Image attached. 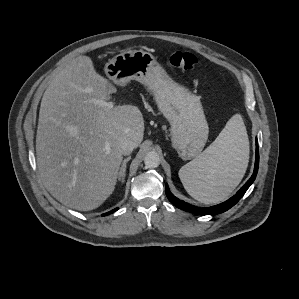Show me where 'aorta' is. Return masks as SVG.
<instances>
[{
  "instance_id": "obj_1",
  "label": "aorta",
  "mask_w": 299,
  "mask_h": 299,
  "mask_svg": "<svg viewBox=\"0 0 299 299\" xmlns=\"http://www.w3.org/2000/svg\"><path fill=\"white\" fill-rule=\"evenodd\" d=\"M144 163L148 168H156L160 164V157L156 152H149L146 154Z\"/></svg>"
}]
</instances>
